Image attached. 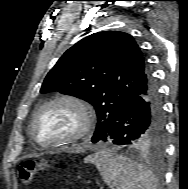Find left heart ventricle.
Masks as SVG:
<instances>
[{"label": "left heart ventricle", "mask_w": 188, "mask_h": 189, "mask_svg": "<svg viewBox=\"0 0 188 189\" xmlns=\"http://www.w3.org/2000/svg\"><path fill=\"white\" fill-rule=\"evenodd\" d=\"M77 111L68 105H57L46 109L36 124V136L43 142L71 136L79 127Z\"/></svg>", "instance_id": "obj_1"}]
</instances>
